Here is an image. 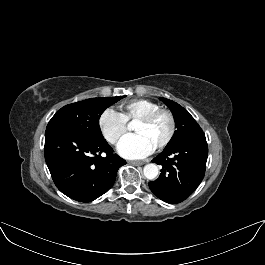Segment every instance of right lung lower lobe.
Wrapping results in <instances>:
<instances>
[{
	"mask_svg": "<svg viewBox=\"0 0 265 265\" xmlns=\"http://www.w3.org/2000/svg\"><path fill=\"white\" fill-rule=\"evenodd\" d=\"M103 137L69 128L45 132L44 154L57 188L80 202H90L108 191L126 161L113 153Z\"/></svg>",
	"mask_w": 265,
	"mask_h": 265,
	"instance_id": "98d812e1",
	"label": "right lung lower lobe"
}]
</instances>
